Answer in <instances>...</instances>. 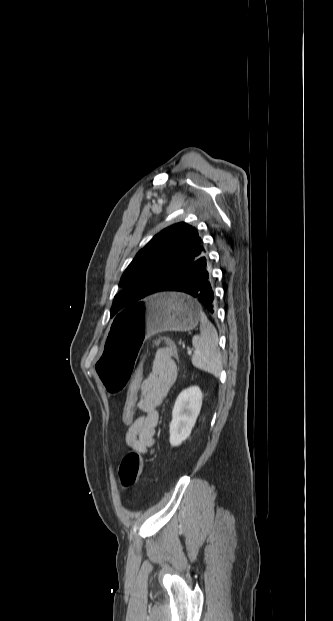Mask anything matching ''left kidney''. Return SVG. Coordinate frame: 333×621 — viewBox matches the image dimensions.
<instances>
[{"label": "left kidney", "instance_id": "1", "mask_svg": "<svg viewBox=\"0 0 333 621\" xmlns=\"http://www.w3.org/2000/svg\"><path fill=\"white\" fill-rule=\"evenodd\" d=\"M203 394L198 386L183 390L177 397L170 423V444L180 445L186 440L196 423L202 406Z\"/></svg>", "mask_w": 333, "mask_h": 621}]
</instances>
